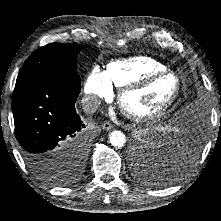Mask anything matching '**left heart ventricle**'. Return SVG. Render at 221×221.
<instances>
[{
  "label": "left heart ventricle",
  "instance_id": "1",
  "mask_svg": "<svg viewBox=\"0 0 221 221\" xmlns=\"http://www.w3.org/2000/svg\"><path fill=\"white\" fill-rule=\"evenodd\" d=\"M174 90V79L162 77L144 89L128 95L125 104L136 113H150L160 108L171 97Z\"/></svg>",
  "mask_w": 221,
  "mask_h": 221
}]
</instances>
